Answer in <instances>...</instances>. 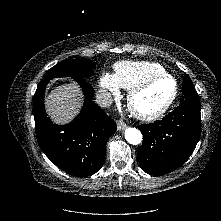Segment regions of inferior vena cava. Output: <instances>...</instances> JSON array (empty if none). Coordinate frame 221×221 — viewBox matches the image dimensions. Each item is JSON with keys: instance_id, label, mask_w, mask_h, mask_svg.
<instances>
[{"instance_id": "inferior-vena-cava-1", "label": "inferior vena cava", "mask_w": 221, "mask_h": 221, "mask_svg": "<svg viewBox=\"0 0 221 221\" xmlns=\"http://www.w3.org/2000/svg\"><path fill=\"white\" fill-rule=\"evenodd\" d=\"M113 98L110 92L106 90H100L96 94V103L100 107H108L112 104Z\"/></svg>"}]
</instances>
